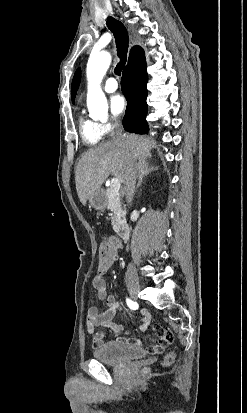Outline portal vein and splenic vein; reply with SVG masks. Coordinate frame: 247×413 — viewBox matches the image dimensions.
Wrapping results in <instances>:
<instances>
[{
  "mask_svg": "<svg viewBox=\"0 0 247 413\" xmlns=\"http://www.w3.org/2000/svg\"><path fill=\"white\" fill-rule=\"evenodd\" d=\"M120 186H121V184L119 182V178H112L110 188H112V190H114V192H119Z\"/></svg>",
  "mask_w": 247,
  "mask_h": 413,
  "instance_id": "1",
  "label": "portal vein and splenic vein"
}]
</instances>
